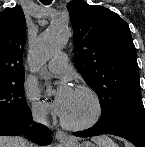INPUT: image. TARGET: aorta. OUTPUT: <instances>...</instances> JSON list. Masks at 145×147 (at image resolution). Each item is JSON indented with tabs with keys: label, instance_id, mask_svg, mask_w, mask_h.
<instances>
[{
	"label": "aorta",
	"instance_id": "obj_1",
	"mask_svg": "<svg viewBox=\"0 0 145 147\" xmlns=\"http://www.w3.org/2000/svg\"><path fill=\"white\" fill-rule=\"evenodd\" d=\"M69 29L65 26L48 27L36 40L30 52V63L34 70L46 63L65 45Z\"/></svg>",
	"mask_w": 145,
	"mask_h": 147
}]
</instances>
